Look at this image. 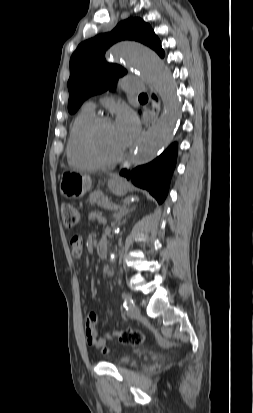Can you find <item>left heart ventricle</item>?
Instances as JSON below:
<instances>
[{"label": "left heart ventricle", "instance_id": "b2bd125f", "mask_svg": "<svg viewBox=\"0 0 253 413\" xmlns=\"http://www.w3.org/2000/svg\"><path fill=\"white\" fill-rule=\"evenodd\" d=\"M95 145L104 157H114L123 149L112 123L103 124L98 128L95 134Z\"/></svg>", "mask_w": 253, "mask_h": 413}]
</instances>
